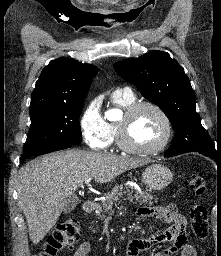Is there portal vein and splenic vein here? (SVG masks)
Masks as SVG:
<instances>
[{
  "label": "portal vein and splenic vein",
  "mask_w": 221,
  "mask_h": 256,
  "mask_svg": "<svg viewBox=\"0 0 221 256\" xmlns=\"http://www.w3.org/2000/svg\"><path fill=\"white\" fill-rule=\"evenodd\" d=\"M90 182H91V178H88V179L85 180V184H86V185H89Z\"/></svg>",
  "instance_id": "1"
}]
</instances>
